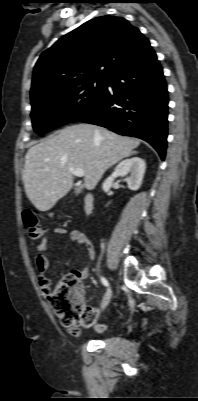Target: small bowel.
<instances>
[{"label": "small bowel", "instance_id": "c3829d8e", "mask_svg": "<svg viewBox=\"0 0 198 401\" xmlns=\"http://www.w3.org/2000/svg\"><path fill=\"white\" fill-rule=\"evenodd\" d=\"M53 234L55 235H66L67 239L71 242L78 243L88 254L90 260L94 259L95 251L91 239L82 231L74 229L71 231H66V229L57 227L53 229ZM50 240L44 239L37 247V253L35 257V266L38 273V283L41 290L44 293H48L51 288L50 280L46 277L45 272L49 266V259L47 257V251L50 247ZM78 277L84 279L90 274L89 266L82 268L76 272ZM104 300V299H103ZM107 300L102 301V307L107 305ZM100 311V307L94 308L93 312L96 315ZM100 328V327H99Z\"/></svg>", "mask_w": 198, "mask_h": 401}]
</instances>
